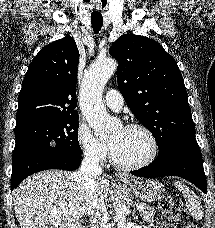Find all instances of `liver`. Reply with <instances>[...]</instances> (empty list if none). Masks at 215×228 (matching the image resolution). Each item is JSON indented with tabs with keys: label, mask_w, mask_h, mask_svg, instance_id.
<instances>
[{
	"label": "liver",
	"mask_w": 215,
	"mask_h": 228,
	"mask_svg": "<svg viewBox=\"0 0 215 228\" xmlns=\"http://www.w3.org/2000/svg\"><path fill=\"white\" fill-rule=\"evenodd\" d=\"M74 174L45 170L19 184L12 196L20 228H82L83 216H104L97 204L107 200L110 180L102 176L96 180V190H80Z\"/></svg>",
	"instance_id": "1"
}]
</instances>
